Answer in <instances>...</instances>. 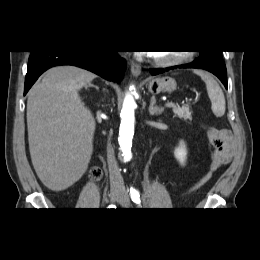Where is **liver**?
Masks as SVG:
<instances>
[{"mask_svg":"<svg viewBox=\"0 0 260 260\" xmlns=\"http://www.w3.org/2000/svg\"><path fill=\"white\" fill-rule=\"evenodd\" d=\"M96 75L75 66L49 69L29 91L27 127L33 167L53 191L77 182L93 152L95 120L78 94Z\"/></svg>","mask_w":260,"mask_h":260,"instance_id":"6515ba94","label":"liver"}]
</instances>
